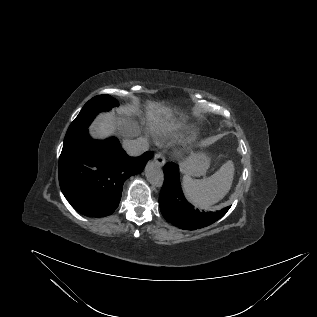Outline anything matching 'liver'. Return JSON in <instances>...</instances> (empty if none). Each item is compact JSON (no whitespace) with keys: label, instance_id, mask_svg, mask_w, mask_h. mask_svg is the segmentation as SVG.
<instances>
[{"label":"liver","instance_id":"6515ba94","mask_svg":"<svg viewBox=\"0 0 317 317\" xmlns=\"http://www.w3.org/2000/svg\"><path fill=\"white\" fill-rule=\"evenodd\" d=\"M144 106L150 130L170 127L174 124L173 110L169 106L155 101H146ZM121 126L124 127L122 129L123 133L128 136H133L137 133V127L128 121L125 116L117 117L111 114L99 116L89 129L93 138L104 139L111 136Z\"/></svg>","mask_w":317,"mask_h":317}]
</instances>
